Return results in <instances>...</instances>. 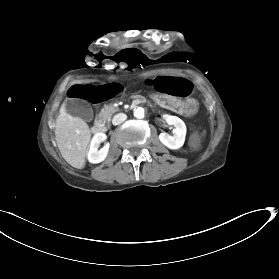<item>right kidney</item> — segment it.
<instances>
[{"instance_id": "obj_1", "label": "right kidney", "mask_w": 279, "mask_h": 279, "mask_svg": "<svg viewBox=\"0 0 279 279\" xmlns=\"http://www.w3.org/2000/svg\"><path fill=\"white\" fill-rule=\"evenodd\" d=\"M106 135L104 133H97L94 135L89 153H88V160L91 163H99L102 162L108 153L109 150V144H106L103 148L98 150L100 144L106 140Z\"/></svg>"}]
</instances>
